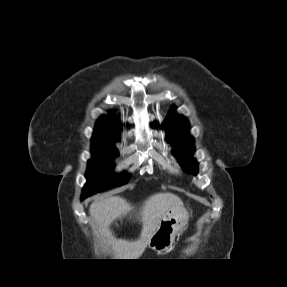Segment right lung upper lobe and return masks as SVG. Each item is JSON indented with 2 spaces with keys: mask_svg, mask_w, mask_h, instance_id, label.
Returning <instances> with one entry per match:
<instances>
[{
  "mask_svg": "<svg viewBox=\"0 0 287 287\" xmlns=\"http://www.w3.org/2000/svg\"><path fill=\"white\" fill-rule=\"evenodd\" d=\"M119 129L113 119L101 117L97 121L92 142L113 143L118 140Z\"/></svg>",
  "mask_w": 287,
  "mask_h": 287,
  "instance_id": "right-lung-upper-lobe-1",
  "label": "right lung upper lobe"
}]
</instances>
